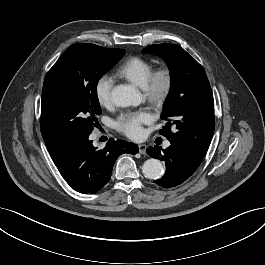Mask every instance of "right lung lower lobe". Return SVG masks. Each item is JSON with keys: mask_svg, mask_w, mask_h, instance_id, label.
I'll use <instances>...</instances> for the list:
<instances>
[{"mask_svg": "<svg viewBox=\"0 0 265 265\" xmlns=\"http://www.w3.org/2000/svg\"><path fill=\"white\" fill-rule=\"evenodd\" d=\"M137 152V145L114 139L97 150L88 135L50 155L71 188L80 193H96L109 181L116 159L123 153Z\"/></svg>", "mask_w": 265, "mask_h": 265, "instance_id": "1", "label": "right lung lower lobe"}]
</instances>
